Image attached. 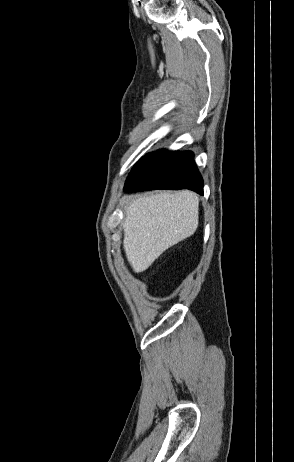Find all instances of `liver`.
Returning a JSON list of instances; mask_svg holds the SVG:
<instances>
[{
    "label": "liver",
    "mask_w": 294,
    "mask_h": 462,
    "mask_svg": "<svg viewBox=\"0 0 294 462\" xmlns=\"http://www.w3.org/2000/svg\"><path fill=\"white\" fill-rule=\"evenodd\" d=\"M198 196L163 192L133 200L125 210L123 248L135 273L145 271L165 250L194 234Z\"/></svg>",
    "instance_id": "6515ba94"
}]
</instances>
